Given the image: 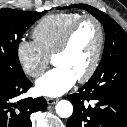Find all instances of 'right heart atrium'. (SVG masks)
<instances>
[{
  "mask_svg": "<svg viewBox=\"0 0 127 127\" xmlns=\"http://www.w3.org/2000/svg\"><path fill=\"white\" fill-rule=\"evenodd\" d=\"M16 56L22 70L32 78L41 76L48 65V57L35 41L20 40L16 46Z\"/></svg>",
  "mask_w": 127,
  "mask_h": 127,
  "instance_id": "1",
  "label": "right heart atrium"
}]
</instances>
